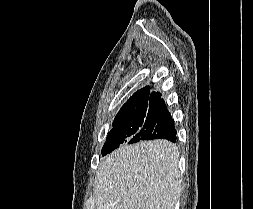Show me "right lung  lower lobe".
Returning a JSON list of instances; mask_svg holds the SVG:
<instances>
[{
	"label": "right lung lower lobe",
	"mask_w": 253,
	"mask_h": 209,
	"mask_svg": "<svg viewBox=\"0 0 253 209\" xmlns=\"http://www.w3.org/2000/svg\"><path fill=\"white\" fill-rule=\"evenodd\" d=\"M150 109L158 111V119L155 126L141 136L142 140L167 139L175 143L177 132L164 100H158Z\"/></svg>",
	"instance_id": "obj_1"
}]
</instances>
